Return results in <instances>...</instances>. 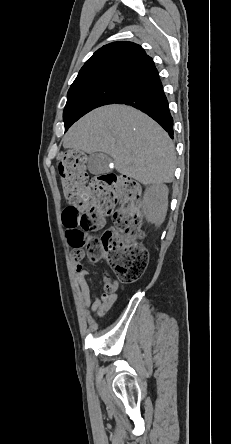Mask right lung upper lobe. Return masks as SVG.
<instances>
[{
	"label": "right lung upper lobe",
	"instance_id": "1",
	"mask_svg": "<svg viewBox=\"0 0 231 444\" xmlns=\"http://www.w3.org/2000/svg\"><path fill=\"white\" fill-rule=\"evenodd\" d=\"M158 77L152 58L140 45L119 41L98 49L81 68L69 90L106 83L132 89Z\"/></svg>",
	"mask_w": 231,
	"mask_h": 444
}]
</instances>
